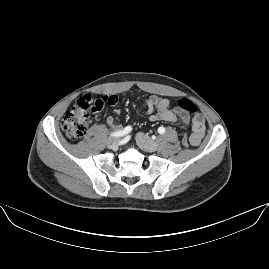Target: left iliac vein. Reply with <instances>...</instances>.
Returning a JSON list of instances; mask_svg holds the SVG:
<instances>
[{
    "label": "left iliac vein",
    "instance_id": "1",
    "mask_svg": "<svg viewBox=\"0 0 269 269\" xmlns=\"http://www.w3.org/2000/svg\"><path fill=\"white\" fill-rule=\"evenodd\" d=\"M136 141L138 145L145 151L155 152L158 149L157 142L153 141L150 137L142 132L137 133Z\"/></svg>",
    "mask_w": 269,
    "mask_h": 269
}]
</instances>
